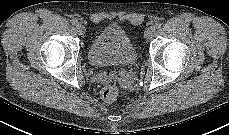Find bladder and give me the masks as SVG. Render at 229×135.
I'll use <instances>...</instances> for the list:
<instances>
[{
    "label": "bladder",
    "mask_w": 229,
    "mask_h": 135,
    "mask_svg": "<svg viewBox=\"0 0 229 135\" xmlns=\"http://www.w3.org/2000/svg\"><path fill=\"white\" fill-rule=\"evenodd\" d=\"M87 59L96 66L134 65L138 53L127 32L120 25L109 24L93 38Z\"/></svg>",
    "instance_id": "31cf9c89"
}]
</instances>
